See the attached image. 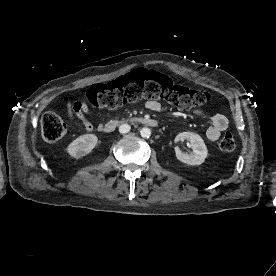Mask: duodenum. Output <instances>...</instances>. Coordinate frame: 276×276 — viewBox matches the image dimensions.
<instances>
[{
	"label": "duodenum",
	"mask_w": 276,
	"mask_h": 276,
	"mask_svg": "<svg viewBox=\"0 0 276 276\" xmlns=\"http://www.w3.org/2000/svg\"><path fill=\"white\" fill-rule=\"evenodd\" d=\"M125 121L135 123V124H140L148 127H156L158 126V122L154 119L147 118V117H141V116H135L131 117L127 120L123 119H114L109 122H107L103 126V132L105 133H111L113 132L120 124L124 123Z\"/></svg>",
	"instance_id": "duodenum-1"
}]
</instances>
